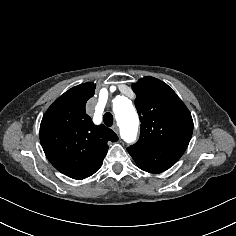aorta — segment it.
I'll return each instance as SVG.
<instances>
[{"instance_id":"aorta-1","label":"aorta","mask_w":236,"mask_h":236,"mask_svg":"<svg viewBox=\"0 0 236 236\" xmlns=\"http://www.w3.org/2000/svg\"><path fill=\"white\" fill-rule=\"evenodd\" d=\"M113 111L121 137L128 143L135 141L139 118L132 102L125 96H117L113 100Z\"/></svg>"}]
</instances>
